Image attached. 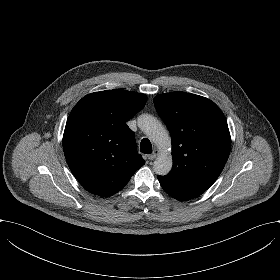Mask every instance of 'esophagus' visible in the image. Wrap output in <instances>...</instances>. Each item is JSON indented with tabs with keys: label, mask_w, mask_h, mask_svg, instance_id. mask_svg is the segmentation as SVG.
Segmentation results:
<instances>
[{
	"label": "esophagus",
	"mask_w": 280,
	"mask_h": 280,
	"mask_svg": "<svg viewBox=\"0 0 280 280\" xmlns=\"http://www.w3.org/2000/svg\"><path fill=\"white\" fill-rule=\"evenodd\" d=\"M159 154V150L155 149L152 154L148 155L149 160H154Z\"/></svg>",
	"instance_id": "esophagus-1"
}]
</instances>
